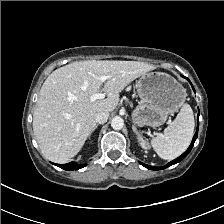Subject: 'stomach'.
<instances>
[{
	"label": "stomach",
	"mask_w": 224,
	"mask_h": 224,
	"mask_svg": "<svg viewBox=\"0 0 224 224\" xmlns=\"http://www.w3.org/2000/svg\"><path fill=\"white\" fill-rule=\"evenodd\" d=\"M140 101L132 113L138 126H161L168 115L177 112L187 93L171 75L164 72H147L136 84Z\"/></svg>",
	"instance_id": "obj_1"
}]
</instances>
